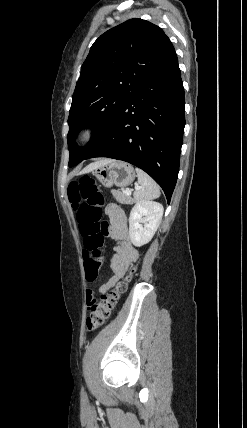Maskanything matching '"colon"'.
<instances>
[{"mask_svg": "<svg viewBox=\"0 0 247 428\" xmlns=\"http://www.w3.org/2000/svg\"><path fill=\"white\" fill-rule=\"evenodd\" d=\"M69 198L77 211L79 229L84 237L85 277L88 282H94L102 266V247L108 226L107 223L101 222L104 198L89 176H83L71 183ZM135 270L136 267H132L113 289L100 296L98 302L95 299L87 300L90 310L86 319L88 330L98 329L109 319L118 299L126 291Z\"/></svg>", "mask_w": 247, "mask_h": 428, "instance_id": "obj_1", "label": "colon"}]
</instances>
